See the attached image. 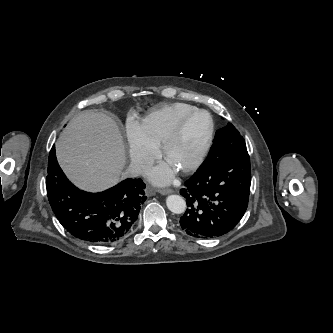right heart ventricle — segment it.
<instances>
[{"mask_svg":"<svg viewBox=\"0 0 333 333\" xmlns=\"http://www.w3.org/2000/svg\"><path fill=\"white\" fill-rule=\"evenodd\" d=\"M194 109L188 103L175 102L149 111L141 123L146 137L156 147L161 146L180 118Z\"/></svg>","mask_w":333,"mask_h":333,"instance_id":"right-heart-ventricle-1","label":"right heart ventricle"}]
</instances>
